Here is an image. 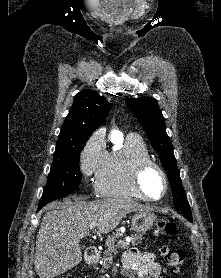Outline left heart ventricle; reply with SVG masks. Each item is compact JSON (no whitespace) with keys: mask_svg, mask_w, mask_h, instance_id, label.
Listing matches in <instances>:
<instances>
[{"mask_svg":"<svg viewBox=\"0 0 221 278\" xmlns=\"http://www.w3.org/2000/svg\"><path fill=\"white\" fill-rule=\"evenodd\" d=\"M144 185L148 194L152 197H159L163 192V181L155 170H150L144 176Z\"/></svg>","mask_w":221,"mask_h":278,"instance_id":"left-heart-ventricle-1","label":"left heart ventricle"}]
</instances>
